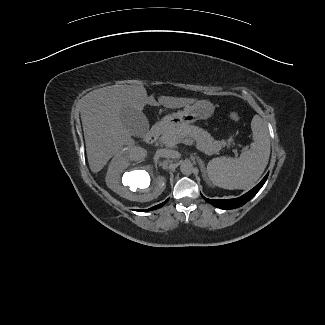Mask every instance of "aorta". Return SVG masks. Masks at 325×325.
Returning a JSON list of instances; mask_svg holds the SVG:
<instances>
[{
    "instance_id": "762f6f07",
    "label": "aorta",
    "mask_w": 325,
    "mask_h": 325,
    "mask_svg": "<svg viewBox=\"0 0 325 325\" xmlns=\"http://www.w3.org/2000/svg\"><path fill=\"white\" fill-rule=\"evenodd\" d=\"M180 171L184 175H190L193 171V165L190 161H184L181 163Z\"/></svg>"
}]
</instances>
